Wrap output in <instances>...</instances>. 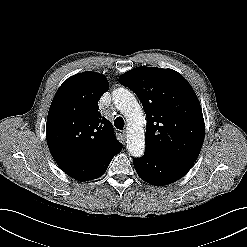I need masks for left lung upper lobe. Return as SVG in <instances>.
Segmentation results:
<instances>
[{"label":"left lung upper lobe","mask_w":247,"mask_h":247,"mask_svg":"<svg viewBox=\"0 0 247 247\" xmlns=\"http://www.w3.org/2000/svg\"><path fill=\"white\" fill-rule=\"evenodd\" d=\"M138 96L147 117L146 151L164 157L196 161L205 127L198 98L178 72L138 67L119 78Z\"/></svg>","instance_id":"5c2ea615"}]
</instances>
